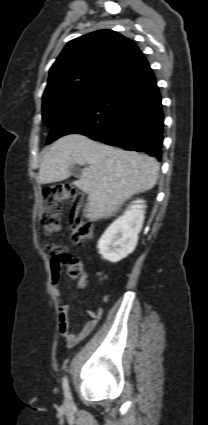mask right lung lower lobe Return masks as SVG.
Returning <instances> with one entry per match:
<instances>
[{
  "mask_svg": "<svg viewBox=\"0 0 208 425\" xmlns=\"http://www.w3.org/2000/svg\"><path fill=\"white\" fill-rule=\"evenodd\" d=\"M163 121L157 81L143 57L114 79L93 104L59 118L47 143L77 133L161 160Z\"/></svg>",
  "mask_w": 208,
  "mask_h": 425,
  "instance_id": "98d812e1",
  "label": "right lung lower lobe"
}]
</instances>
